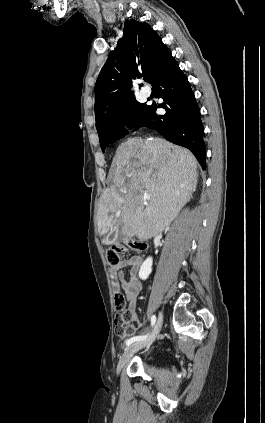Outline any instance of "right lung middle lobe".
Listing matches in <instances>:
<instances>
[{
  "label": "right lung middle lobe",
  "mask_w": 265,
  "mask_h": 423,
  "mask_svg": "<svg viewBox=\"0 0 265 423\" xmlns=\"http://www.w3.org/2000/svg\"><path fill=\"white\" fill-rule=\"evenodd\" d=\"M148 108V105L139 103L135 97H131L119 104L101 122L96 124L102 151H105L108 144L126 135V131L122 128L123 122L129 128L137 127L144 119Z\"/></svg>",
  "instance_id": "dd1d6c3e"
}]
</instances>
